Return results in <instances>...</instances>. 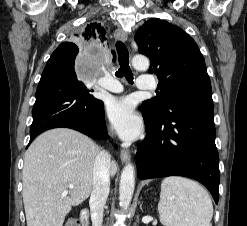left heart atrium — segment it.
I'll return each mask as SVG.
<instances>
[{
  "label": "left heart atrium",
  "mask_w": 247,
  "mask_h": 226,
  "mask_svg": "<svg viewBox=\"0 0 247 226\" xmlns=\"http://www.w3.org/2000/svg\"><path fill=\"white\" fill-rule=\"evenodd\" d=\"M107 114L123 140L132 141L141 134L142 121L131 98H112L107 104Z\"/></svg>",
  "instance_id": "1"
}]
</instances>
